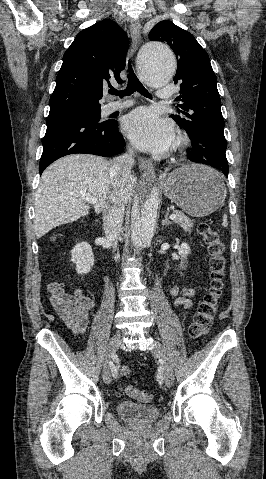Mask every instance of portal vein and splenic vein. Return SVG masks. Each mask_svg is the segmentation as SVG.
<instances>
[{
    "mask_svg": "<svg viewBox=\"0 0 266 479\" xmlns=\"http://www.w3.org/2000/svg\"><path fill=\"white\" fill-rule=\"evenodd\" d=\"M81 198L83 200H85L86 202L90 203V204H96L97 203V199L95 197H92V196H88V195H82ZM169 218L171 220H175L177 218V216L175 214H171L169 216Z\"/></svg>",
    "mask_w": 266,
    "mask_h": 479,
    "instance_id": "obj_1",
    "label": "portal vein and splenic vein"
}]
</instances>
